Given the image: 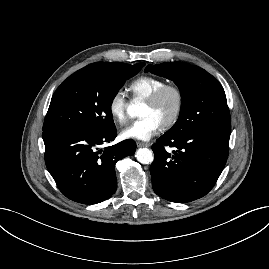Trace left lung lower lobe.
<instances>
[{"mask_svg":"<svg viewBox=\"0 0 269 269\" xmlns=\"http://www.w3.org/2000/svg\"><path fill=\"white\" fill-rule=\"evenodd\" d=\"M230 129H196L184 135H162L152 150L150 167L154 192L176 203L205 196L227 161ZM165 146L174 147L169 153Z\"/></svg>","mask_w":269,"mask_h":269,"instance_id":"0a47b994","label":"left lung lower lobe"}]
</instances>
